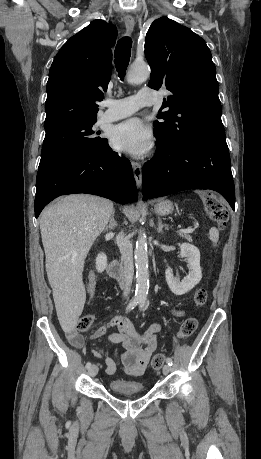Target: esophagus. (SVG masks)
Segmentation results:
<instances>
[{
    "instance_id": "34e87169",
    "label": "esophagus",
    "mask_w": 261,
    "mask_h": 459,
    "mask_svg": "<svg viewBox=\"0 0 261 459\" xmlns=\"http://www.w3.org/2000/svg\"><path fill=\"white\" fill-rule=\"evenodd\" d=\"M124 23H125L126 32L128 35H130L134 29L135 21L132 17H126L124 19ZM131 164H132L133 174H134V178H135L137 187L140 188L142 185V167L140 163L135 162V161H132Z\"/></svg>"
}]
</instances>
